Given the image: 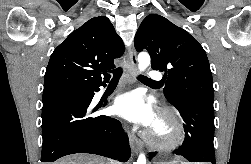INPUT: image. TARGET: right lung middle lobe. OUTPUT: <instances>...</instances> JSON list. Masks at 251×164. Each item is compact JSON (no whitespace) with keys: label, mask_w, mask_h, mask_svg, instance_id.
Returning <instances> with one entry per match:
<instances>
[{"label":"right lung middle lobe","mask_w":251,"mask_h":164,"mask_svg":"<svg viewBox=\"0 0 251 164\" xmlns=\"http://www.w3.org/2000/svg\"><path fill=\"white\" fill-rule=\"evenodd\" d=\"M84 89L78 88H60L54 89L43 93V102L56 98H80L85 95Z\"/></svg>","instance_id":"obj_1"}]
</instances>
